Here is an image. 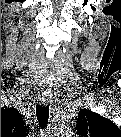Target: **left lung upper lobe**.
<instances>
[{
  "instance_id": "left-lung-upper-lobe-1",
  "label": "left lung upper lobe",
  "mask_w": 121,
  "mask_h": 137,
  "mask_svg": "<svg viewBox=\"0 0 121 137\" xmlns=\"http://www.w3.org/2000/svg\"><path fill=\"white\" fill-rule=\"evenodd\" d=\"M76 129L81 136H120V129L109 119L87 109L79 111Z\"/></svg>"
}]
</instances>
